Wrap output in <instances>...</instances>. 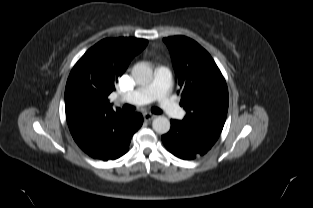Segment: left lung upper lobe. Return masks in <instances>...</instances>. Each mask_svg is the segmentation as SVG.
Listing matches in <instances>:
<instances>
[{
    "label": "left lung upper lobe",
    "mask_w": 313,
    "mask_h": 208,
    "mask_svg": "<svg viewBox=\"0 0 313 208\" xmlns=\"http://www.w3.org/2000/svg\"><path fill=\"white\" fill-rule=\"evenodd\" d=\"M163 40L171 53L181 106L187 111L182 122L195 129L221 133L228 111V89L216 63L188 37Z\"/></svg>",
    "instance_id": "1"
}]
</instances>
